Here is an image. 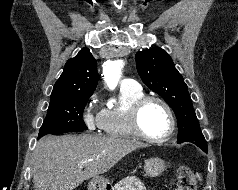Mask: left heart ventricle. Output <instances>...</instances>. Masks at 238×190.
Masks as SVG:
<instances>
[{
	"mask_svg": "<svg viewBox=\"0 0 238 190\" xmlns=\"http://www.w3.org/2000/svg\"><path fill=\"white\" fill-rule=\"evenodd\" d=\"M142 129L152 137L165 135L170 128V119L165 109L158 103H149L142 111Z\"/></svg>",
	"mask_w": 238,
	"mask_h": 190,
	"instance_id": "obj_1",
	"label": "left heart ventricle"
}]
</instances>
